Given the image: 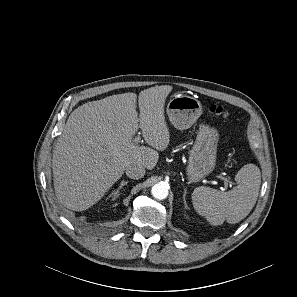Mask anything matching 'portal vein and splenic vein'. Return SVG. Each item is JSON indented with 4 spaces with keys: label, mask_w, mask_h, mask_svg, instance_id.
I'll return each instance as SVG.
<instances>
[{
    "label": "portal vein and splenic vein",
    "mask_w": 297,
    "mask_h": 297,
    "mask_svg": "<svg viewBox=\"0 0 297 297\" xmlns=\"http://www.w3.org/2000/svg\"><path fill=\"white\" fill-rule=\"evenodd\" d=\"M141 141V137H140V133L138 132V135L135 137V139L133 140V142L135 144L139 143ZM217 178L222 179L224 181L225 187L222 190H226L228 188V185L233 184L231 181H229L227 178L225 177H221V176H217Z\"/></svg>",
    "instance_id": "18ae733b"
}]
</instances>
